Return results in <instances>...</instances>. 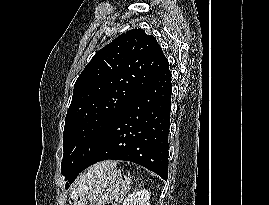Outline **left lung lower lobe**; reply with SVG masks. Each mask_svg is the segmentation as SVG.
<instances>
[{
  "label": "left lung lower lobe",
  "instance_id": "0a47b994",
  "mask_svg": "<svg viewBox=\"0 0 269 205\" xmlns=\"http://www.w3.org/2000/svg\"><path fill=\"white\" fill-rule=\"evenodd\" d=\"M171 92L167 63L107 127L75 170L73 181L90 165L108 159L137 163L167 180Z\"/></svg>",
  "mask_w": 269,
  "mask_h": 205
}]
</instances>
